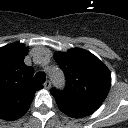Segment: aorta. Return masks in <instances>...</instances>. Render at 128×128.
I'll return each mask as SVG.
<instances>
[{
  "label": "aorta",
  "mask_w": 128,
  "mask_h": 128,
  "mask_svg": "<svg viewBox=\"0 0 128 128\" xmlns=\"http://www.w3.org/2000/svg\"><path fill=\"white\" fill-rule=\"evenodd\" d=\"M49 76H50V79H51L53 85L57 89L63 90L65 88L66 79H65L63 71L60 68H58L56 66L52 67L49 70Z\"/></svg>",
  "instance_id": "obj_1"
}]
</instances>
